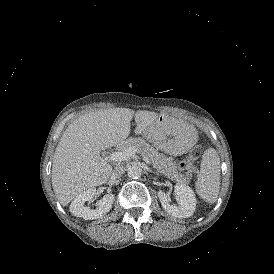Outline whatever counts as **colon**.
<instances>
[{
  "instance_id": "1",
  "label": "colon",
  "mask_w": 274,
  "mask_h": 274,
  "mask_svg": "<svg viewBox=\"0 0 274 274\" xmlns=\"http://www.w3.org/2000/svg\"><path fill=\"white\" fill-rule=\"evenodd\" d=\"M202 149L201 147H195L179 165L178 169L181 174L189 175L195 169V162L201 156Z\"/></svg>"
}]
</instances>
